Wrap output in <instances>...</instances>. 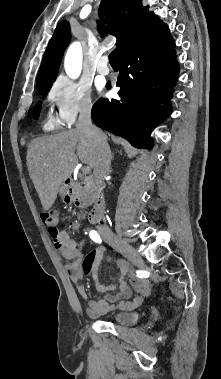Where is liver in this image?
<instances>
[{"label": "liver", "mask_w": 221, "mask_h": 379, "mask_svg": "<svg viewBox=\"0 0 221 379\" xmlns=\"http://www.w3.org/2000/svg\"><path fill=\"white\" fill-rule=\"evenodd\" d=\"M96 158V140L78 129L39 137L30 142L27 166L44 211L54 204L60 187L73 173L78 159L94 168Z\"/></svg>", "instance_id": "obj_1"}]
</instances>
